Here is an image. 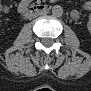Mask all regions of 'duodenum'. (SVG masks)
I'll use <instances>...</instances> for the list:
<instances>
[{"label": "duodenum", "mask_w": 91, "mask_h": 91, "mask_svg": "<svg viewBox=\"0 0 91 91\" xmlns=\"http://www.w3.org/2000/svg\"><path fill=\"white\" fill-rule=\"evenodd\" d=\"M51 9V5L48 3H38L30 5L24 12V17H30L39 13H45Z\"/></svg>", "instance_id": "410a0bca"}]
</instances>
